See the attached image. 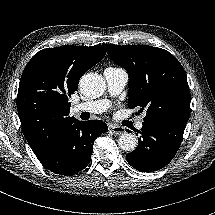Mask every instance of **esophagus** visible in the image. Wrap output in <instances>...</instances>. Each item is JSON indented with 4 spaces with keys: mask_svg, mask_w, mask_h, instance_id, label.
<instances>
[{
    "mask_svg": "<svg viewBox=\"0 0 215 215\" xmlns=\"http://www.w3.org/2000/svg\"><path fill=\"white\" fill-rule=\"evenodd\" d=\"M109 130L116 135H122L126 132V129L123 126H118L114 124L109 125Z\"/></svg>",
    "mask_w": 215,
    "mask_h": 215,
    "instance_id": "34e87169",
    "label": "esophagus"
}]
</instances>
